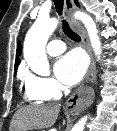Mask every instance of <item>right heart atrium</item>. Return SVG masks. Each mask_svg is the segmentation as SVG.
I'll return each instance as SVG.
<instances>
[{"label":"right heart atrium","mask_w":117,"mask_h":131,"mask_svg":"<svg viewBox=\"0 0 117 131\" xmlns=\"http://www.w3.org/2000/svg\"><path fill=\"white\" fill-rule=\"evenodd\" d=\"M24 79L30 89L42 95L46 100L58 98L63 91V87L53 78L25 73Z\"/></svg>","instance_id":"right-heart-atrium-1"}]
</instances>
